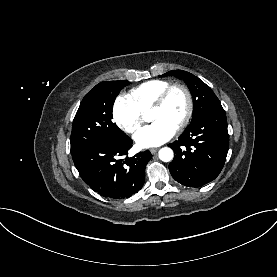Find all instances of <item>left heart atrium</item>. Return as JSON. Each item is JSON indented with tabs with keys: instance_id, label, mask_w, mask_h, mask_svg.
I'll use <instances>...</instances> for the list:
<instances>
[{
	"instance_id": "39dd6f15",
	"label": "left heart atrium",
	"mask_w": 277,
	"mask_h": 277,
	"mask_svg": "<svg viewBox=\"0 0 277 277\" xmlns=\"http://www.w3.org/2000/svg\"><path fill=\"white\" fill-rule=\"evenodd\" d=\"M175 133L174 125L164 120H156L138 130L134 135V140L142 148L156 147L170 140Z\"/></svg>"
}]
</instances>
